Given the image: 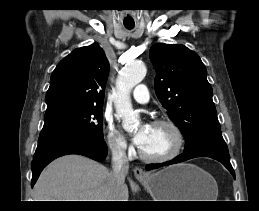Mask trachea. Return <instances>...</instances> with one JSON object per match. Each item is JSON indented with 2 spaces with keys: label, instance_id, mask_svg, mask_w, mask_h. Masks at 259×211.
<instances>
[{
  "label": "trachea",
  "instance_id": "obj_1",
  "mask_svg": "<svg viewBox=\"0 0 259 211\" xmlns=\"http://www.w3.org/2000/svg\"><path fill=\"white\" fill-rule=\"evenodd\" d=\"M126 28H128V29H132L133 27H126Z\"/></svg>",
  "mask_w": 259,
  "mask_h": 211
}]
</instances>
